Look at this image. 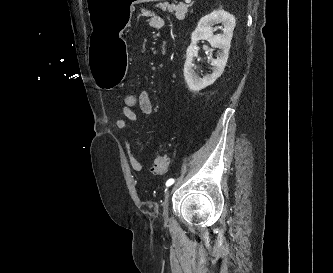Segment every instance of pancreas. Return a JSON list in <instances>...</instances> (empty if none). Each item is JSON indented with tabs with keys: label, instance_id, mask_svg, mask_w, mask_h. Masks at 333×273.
Segmentation results:
<instances>
[{
	"label": "pancreas",
	"instance_id": "cf45deb5",
	"mask_svg": "<svg viewBox=\"0 0 333 273\" xmlns=\"http://www.w3.org/2000/svg\"><path fill=\"white\" fill-rule=\"evenodd\" d=\"M190 5H186L183 3H179L178 5L169 4V3H160L157 5L163 11L168 10L169 12L173 13L175 11V16L178 20L185 19L186 13L188 12V7Z\"/></svg>",
	"mask_w": 333,
	"mask_h": 273
}]
</instances>
